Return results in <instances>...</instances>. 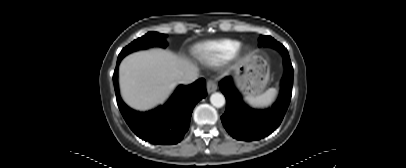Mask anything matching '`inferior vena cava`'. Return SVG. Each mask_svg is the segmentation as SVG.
Returning <instances> with one entry per match:
<instances>
[{
    "mask_svg": "<svg viewBox=\"0 0 406 168\" xmlns=\"http://www.w3.org/2000/svg\"><path fill=\"white\" fill-rule=\"evenodd\" d=\"M199 77V72L197 68H192L191 70L182 73L179 77H178V81L181 84H190L192 82H194L195 80H197Z\"/></svg>",
    "mask_w": 406,
    "mask_h": 168,
    "instance_id": "602c4592",
    "label": "inferior vena cava"
}]
</instances>
